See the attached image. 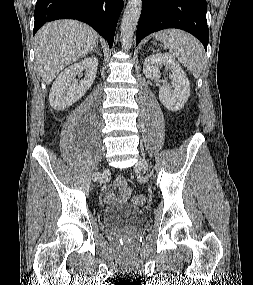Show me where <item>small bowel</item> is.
<instances>
[{"label": "small bowel", "mask_w": 253, "mask_h": 285, "mask_svg": "<svg viewBox=\"0 0 253 285\" xmlns=\"http://www.w3.org/2000/svg\"><path fill=\"white\" fill-rule=\"evenodd\" d=\"M115 189L118 190L119 194L116 196L113 191L109 190L104 195V201L106 204L115 205L126 203L131 196V189L127 185L124 177L116 178L114 182Z\"/></svg>", "instance_id": "small-bowel-1"}]
</instances>
